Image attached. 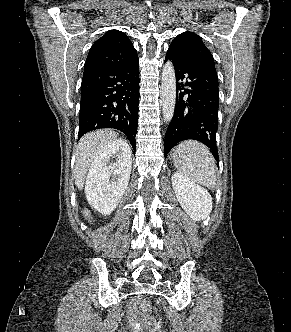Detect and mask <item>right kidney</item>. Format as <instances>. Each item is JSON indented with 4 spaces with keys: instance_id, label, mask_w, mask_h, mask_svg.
<instances>
[{
    "instance_id": "1",
    "label": "right kidney",
    "mask_w": 291,
    "mask_h": 332,
    "mask_svg": "<svg viewBox=\"0 0 291 332\" xmlns=\"http://www.w3.org/2000/svg\"><path fill=\"white\" fill-rule=\"evenodd\" d=\"M111 158H115L111 161ZM128 145L115 140L105 145L89 169L85 194L88 202L101 214L109 215L117 207L128 186L131 172Z\"/></svg>"
}]
</instances>
